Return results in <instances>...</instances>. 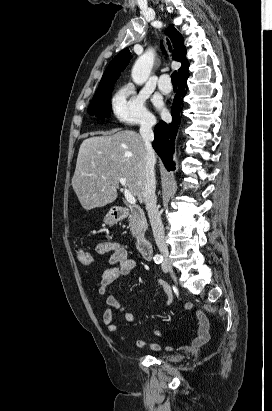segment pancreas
Here are the masks:
<instances>
[{"label":"pancreas","instance_id":"pancreas-1","mask_svg":"<svg viewBox=\"0 0 272 411\" xmlns=\"http://www.w3.org/2000/svg\"><path fill=\"white\" fill-rule=\"evenodd\" d=\"M128 221L132 235L135 238L143 237L145 231L148 228L147 220L143 210L138 206L130 207Z\"/></svg>","mask_w":272,"mask_h":411}]
</instances>
